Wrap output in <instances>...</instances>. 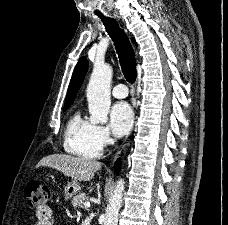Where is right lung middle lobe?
<instances>
[{
	"mask_svg": "<svg viewBox=\"0 0 228 225\" xmlns=\"http://www.w3.org/2000/svg\"><path fill=\"white\" fill-rule=\"evenodd\" d=\"M69 106L70 105L64 106V111H66Z\"/></svg>",
	"mask_w": 228,
	"mask_h": 225,
	"instance_id": "1",
	"label": "right lung middle lobe"
}]
</instances>
